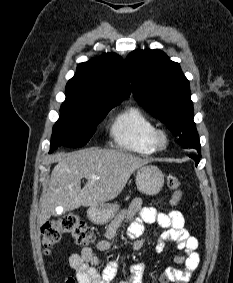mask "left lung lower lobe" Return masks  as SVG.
I'll return each instance as SVG.
<instances>
[{
  "mask_svg": "<svg viewBox=\"0 0 233 283\" xmlns=\"http://www.w3.org/2000/svg\"><path fill=\"white\" fill-rule=\"evenodd\" d=\"M199 156H201V154H199ZM190 157H191L192 159H194L195 162H196V165H198V163H199V158H198L197 156H195V155H190Z\"/></svg>",
  "mask_w": 233,
  "mask_h": 283,
  "instance_id": "0a47b994",
  "label": "left lung lower lobe"
}]
</instances>
